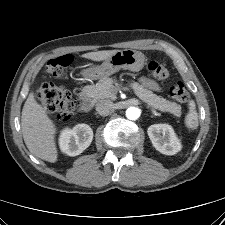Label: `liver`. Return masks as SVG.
Segmentation results:
<instances>
[{"instance_id": "liver-1", "label": "liver", "mask_w": 225, "mask_h": 225, "mask_svg": "<svg viewBox=\"0 0 225 225\" xmlns=\"http://www.w3.org/2000/svg\"><path fill=\"white\" fill-rule=\"evenodd\" d=\"M116 51L118 50L89 52L82 57L93 61H103ZM21 130L24 142L34 156L50 163L57 161L55 125L44 108L38 104L33 92L28 95L22 109Z\"/></svg>"}]
</instances>
